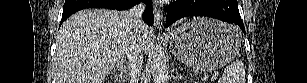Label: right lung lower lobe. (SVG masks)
Here are the masks:
<instances>
[{"label": "right lung lower lobe", "mask_w": 307, "mask_h": 83, "mask_svg": "<svg viewBox=\"0 0 307 83\" xmlns=\"http://www.w3.org/2000/svg\"><path fill=\"white\" fill-rule=\"evenodd\" d=\"M146 3V10L142 14V18L148 25L152 26L154 22L152 5L150 0H65L62 22L73 13L86 8H108L116 10L129 9L138 2Z\"/></svg>", "instance_id": "right-lung-lower-lobe-1"}]
</instances>
